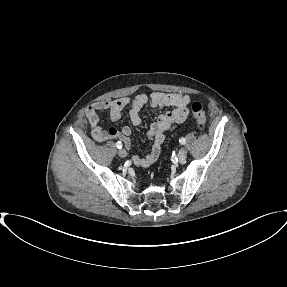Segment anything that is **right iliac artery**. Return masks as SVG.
I'll return each instance as SVG.
<instances>
[{"mask_svg":"<svg viewBox=\"0 0 287 287\" xmlns=\"http://www.w3.org/2000/svg\"><path fill=\"white\" fill-rule=\"evenodd\" d=\"M116 147H117L118 149H121V148H122V143H121V141H118V142L116 143Z\"/></svg>","mask_w":287,"mask_h":287,"instance_id":"obj_1","label":"right iliac artery"}]
</instances>
